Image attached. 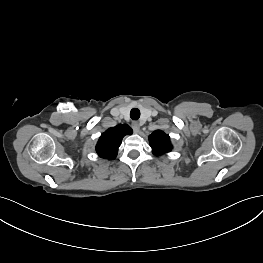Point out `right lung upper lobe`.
Masks as SVG:
<instances>
[{
    "instance_id": "right-lung-upper-lobe-1",
    "label": "right lung upper lobe",
    "mask_w": 263,
    "mask_h": 263,
    "mask_svg": "<svg viewBox=\"0 0 263 263\" xmlns=\"http://www.w3.org/2000/svg\"><path fill=\"white\" fill-rule=\"evenodd\" d=\"M132 129L126 124H119L106 130L100 137L96 151L102 158L114 159L117 156L118 148L125 135H131Z\"/></svg>"
}]
</instances>
